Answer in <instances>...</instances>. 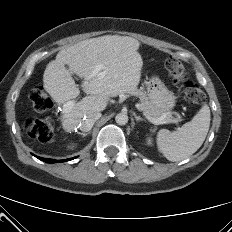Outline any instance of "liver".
<instances>
[{"label":"liver","mask_w":232,"mask_h":232,"mask_svg":"<svg viewBox=\"0 0 232 232\" xmlns=\"http://www.w3.org/2000/svg\"><path fill=\"white\" fill-rule=\"evenodd\" d=\"M139 45L132 37L105 35L69 46L47 64L43 87L57 104H64L80 94L72 73L85 80L82 88L87 96L68 112L63 111L65 131L77 129L85 116L105 110L110 97L137 89L143 66L137 51ZM94 71H97L95 75Z\"/></svg>","instance_id":"liver-1"}]
</instances>
